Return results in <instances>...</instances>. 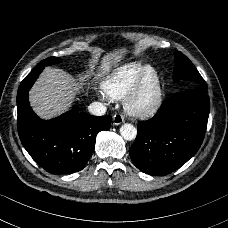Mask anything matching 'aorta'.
Here are the masks:
<instances>
[{
  "label": "aorta",
  "instance_id": "762f6f07",
  "mask_svg": "<svg viewBox=\"0 0 228 228\" xmlns=\"http://www.w3.org/2000/svg\"><path fill=\"white\" fill-rule=\"evenodd\" d=\"M120 133H121V136L123 137V139L126 141H133L137 137V130L131 124L122 125Z\"/></svg>",
  "mask_w": 228,
  "mask_h": 228
}]
</instances>
